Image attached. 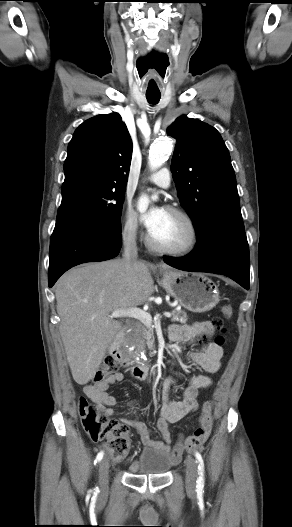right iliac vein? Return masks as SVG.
Returning a JSON list of instances; mask_svg holds the SVG:
<instances>
[{
	"label": "right iliac vein",
	"mask_w": 292,
	"mask_h": 527,
	"mask_svg": "<svg viewBox=\"0 0 292 527\" xmlns=\"http://www.w3.org/2000/svg\"><path fill=\"white\" fill-rule=\"evenodd\" d=\"M109 461L104 458L99 464V484L103 492L108 489Z\"/></svg>",
	"instance_id": "1"
}]
</instances>
